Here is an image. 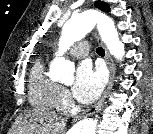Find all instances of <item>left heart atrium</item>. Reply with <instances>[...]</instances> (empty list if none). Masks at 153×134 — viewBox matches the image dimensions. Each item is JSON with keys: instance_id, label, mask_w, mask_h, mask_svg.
Here are the masks:
<instances>
[{"instance_id": "left-heart-atrium-1", "label": "left heart atrium", "mask_w": 153, "mask_h": 134, "mask_svg": "<svg viewBox=\"0 0 153 134\" xmlns=\"http://www.w3.org/2000/svg\"><path fill=\"white\" fill-rule=\"evenodd\" d=\"M105 82L102 70L87 63L79 65L73 84V94L81 102H93L101 93Z\"/></svg>"}]
</instances>
